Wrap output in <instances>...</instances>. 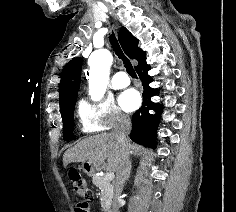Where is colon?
<instances>
[{"label": "colon", "instance_id": "colon-1", "mask_svg": "<svg viewBox=\"0 0 236 212\" xmlns=\"http://www.w3.org/2000/svg\"><path fill=\"white\" fill-rule=\"evenodd\" d=\"M68 176L75 193L87 200H90L92 198V193L83 175L78 170L71 169L68 173ZM79 205H87V204H79Z\"/></svg>", "mask_w": 236, "mask_h": 212}]
</instances>
